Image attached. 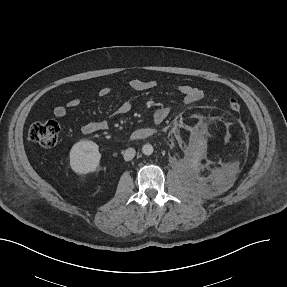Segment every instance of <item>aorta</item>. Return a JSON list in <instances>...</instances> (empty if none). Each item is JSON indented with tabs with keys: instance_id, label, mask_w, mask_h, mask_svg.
I'll return each instance as SVG.
<instances>
[{
	"instance_id": "obj_1",
	"label": "aorta",
	"mask_w": 287,
	"mask_h": 287,
	"mask_svg": "<svg viewBox=\"0 0 287 287\" xmlns=\"http://www.w3.org/2000/svg\"><path fill=\"white\" fill-rule=\"evenodd\" d=\"M142 152L144 155H151L153 153V146L151 144H145L143 147H142Z\"/></svg>"
}]
</instances>
